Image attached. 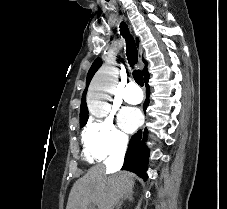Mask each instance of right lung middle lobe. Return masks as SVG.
Instances as JSON below:
<instances>
[{
  "instance_id": "obj_1",
  "label": "right lung middle lobe",
  "mask_w": 227,
  "mask_h": 209,
  "mask_svg": "<svg viewBox=\"0 0 227 209\" xmlns=\"http://www.w3.org/2000/svg\"><path fill=\"white\" fill-rule=\"evenodd\" d=\"M88 118L85 119H80V127H84L85 124L87 123Z\"/></svg>"
}]
</instances>
